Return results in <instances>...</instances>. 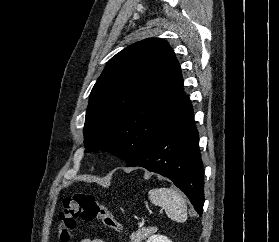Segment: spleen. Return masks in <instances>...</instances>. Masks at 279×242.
<instances>
[{"instance_id":"3e777b00","label":"spleen","mask_w":279,"mask_h":242,"mask_svg":"<svg viewBox=\"0 0 279 242\" xmlns=\"http://www.w3.org/2000/svg\"><path fill=\"white\" fill-rule=\"evenodd\" d=\"M150 201L154 205L165 208L168 217L177 222H185L187 220V205L182 195L169 188H155L148 193Z\"/></svg>"}]
</instances>
